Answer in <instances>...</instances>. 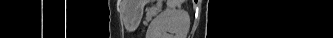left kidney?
I'll return each mask as SVG.
<instances>
[{
	"label": "left kidney",
	"instance_id": "left-kidney-1",
	"mask_svg": "<svg viewBox=\"0 0 333 38\" xmlns=\"http://www.w3.org/2000/svg\"><path fill=\"white\" fill-rule=\"evenodd\" d=\"M190 17L183 9L167 8L149 26L148 38H186Z\"/></svg>",
	"mask_w": 333,
	"mask_h": 38
}]
</instances>
